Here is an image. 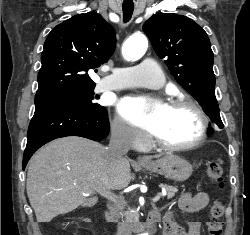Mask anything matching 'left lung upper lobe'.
<instances>
[{
    "label": "left lung upper lobe",
    "mask_w": 250,
    "mask_h": 235,
    "mask_svg": "<svg viewBox=\"0 0 250 235\" xmlns=\"http://www.w3.org/2000/svg\"><path fill=\"white\" fill-rule=\"evenodd\" d=\"M143 31L157 55L166 59L177 82L223 128L214 91V57L206 32L190 18L173 13L153 15L143 25Z\"/></svg>",
    "instance_id": "5c2ea615"
}]
</instances>
